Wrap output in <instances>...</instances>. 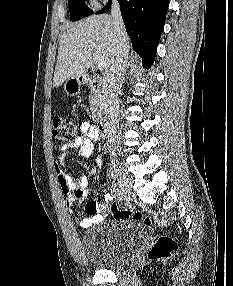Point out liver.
Returning a JSON list of instances; mask_svg holds the SVG:
<instances>
[{
  "label": "liver",
  "instance_id": "obj_1",
  "mask_svg": "<svg viewBox=\"0 0 233 286\" xmlns=\"http://www.w3.org/2000/svg\"><path fill=\"white\" fill-rule=\"evenodd\" d=\"M124 37L129 46L126 31ZM115 40L113 19L108 14L92 15L67 29L59 41L53 86L85 74L94 51H99L107 70L115 55Z\"/></svg>",
  "mask_w": 233,
  "mask_h": 286
}]
</instances>
